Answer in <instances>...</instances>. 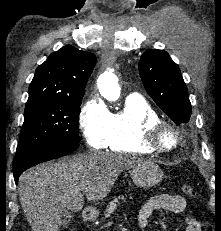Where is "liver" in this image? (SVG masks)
I'll return each mask as SVG.
<instances>
[{"label":"liver","instance_id":"liver-1","mask_svg":"<svg viewBox=\"0 0 221 231\" xmlns=\"http://www.w3.org/2000/svg\"><path fill=\"white\" fill-rule=\"evenodd\" d=\"M142 159L115 153L91 152L47 162L24 172L18 182L19 199L33 231H58L62 211L105 198L119 174Z\"/></svg>","mask_w":221,"mask_h":231}]
</instances>
